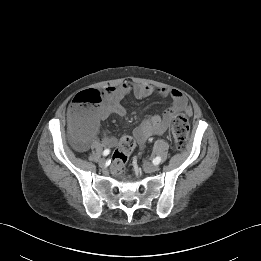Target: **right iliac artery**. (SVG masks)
Masks as SVG:
<instances>
[{"instance_id":"1","label":"right iliac artery","mask_w":261,"mask_h":261,"mask_svg":"<svg viewBox=\"0 0 261 261\" xmlns=\"http://www.w3.org/2000/svg\"><path fill=\"white\" fill-rule=\"evenodd\" d=\"M109 153H110V150H109V149H105V150L103 151V155H104V156H107Z\"/></svg>"}]
</instances>
